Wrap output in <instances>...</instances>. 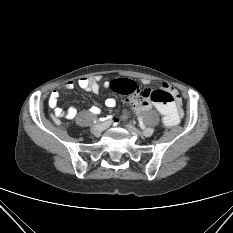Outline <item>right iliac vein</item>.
Listing matches in <instances>:
<instances>
[{
    "label": "right iliac vein",
    "mask_w": 233,
    "mask_h": 233,
    "mask_svg": "<svg viewBox=\"0 0 233 233\" xmlns=\"http://www.w3.org/2000/svg\"><path fill=\"white\" fill-rule=\"evenodd\" d=\"M106 127H107V125H106V126H102V128H91V133H92L94 136L98 137V136L101 135L102 131H103Z\"/></svg>",
    "instance_id": "right-iliac-vein-1"
}]
</instances>
